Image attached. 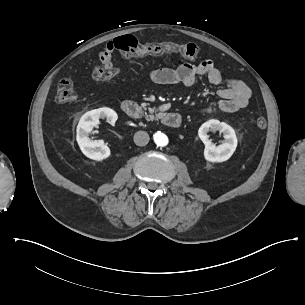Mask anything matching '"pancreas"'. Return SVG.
<instances>
[{"label":"pancreas","mask_w":305,"mask_h":305,"mask_svg":"<svg viewBox=\"0 0 305 305\" xmlns=\"http://www.w3.org/2000/svg\"><path fill=\"white\" fill-rule=\"evenodd\" d=\"M141 106L145 109L148 110V114L144 115V118L149 121L153 120H159V116L156 114V111L151 108H147L148 104L147 103H142ZM155 113V115H153Z\"/></svg>","instance_id":"1"}]
</instances>
